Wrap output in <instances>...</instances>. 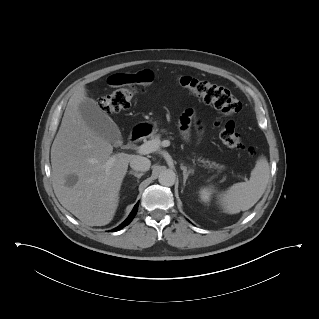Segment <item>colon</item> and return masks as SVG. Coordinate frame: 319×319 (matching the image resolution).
<instances>
[{"label":"colon","instance_id":"obj_1","mask_svg":"<svg viewBox=\"0 0 319 319\" xmlns=\"http://www.w3.org/2000/svg\"><path fill=\"white\" fill-rule=\"evenodd\" d=\"M109 83L117 87V89L102 98L101 107L111 114L128 110L133 97L144 92L149 84L137 74L134 76L115 74L110 77ZM179 84L190 93L200 97L205 103L213 105L222 113L223 118L217 121L216 127L218 137L225 145L244 150L250 155L254 154L252 148L246 147L242 142L235 131L234 123L231 120H227V118L238 114L242 107L241 102L229 89L190 76L180 77Z\"/></svg>","mask_w":319,"mask_h":319}]
</instances>
